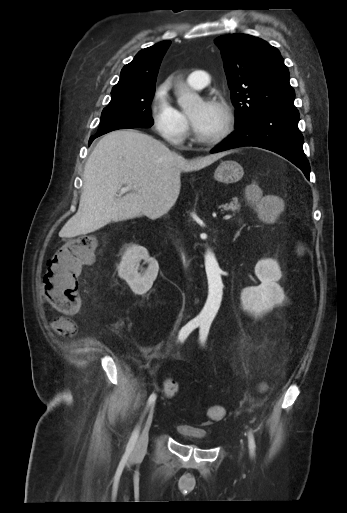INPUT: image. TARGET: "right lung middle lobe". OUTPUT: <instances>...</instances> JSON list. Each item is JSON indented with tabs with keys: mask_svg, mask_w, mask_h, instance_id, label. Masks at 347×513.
Returning <instances> with one entry per match:
<instances>
[{
	"mask_svg": "<svg viewBox=\"0 0 347 513\" xmlns=\"http://www.w3.org/2000/svg\"><path fill=\"white\" fill-rule=\"evenodd\" d=\"M152 88H125L111 92L110 103L101 114L97 135L124 128H149L153 125L150 104Z\"/></svg>",
	"mask_w": 347,
	"mask_h": 513,
	"instance_id": "dd1d6c3e",
	"label": "right lung middle lobe"
}]
</instances>
